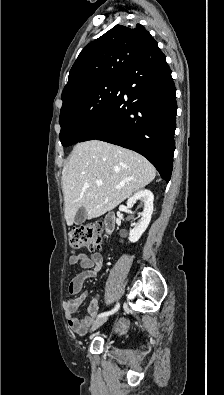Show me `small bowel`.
Masks as SVG:
<instances>
[{"instance_id":"obj_1","label":"small bowel","mask_w":224,"mask_h":395,"mask_svg":"<svg viewBox=\"0 0 224 395\" xmlns=\"http://www.w3.org/2000/svg\"><path fill=\"white\" fill-rule=\"evenodd\" d=\"M102 263L103 258L99 252H93L91 255L80 253L69 258V264L78 265L82 268V271L74 276L69 284V293L76 298L65 301L63 306L69 328L79 335L85 334L99 310L98 296H96L88 308V314L82 320L74 316L87 297V292L82 290L83 284L85 280L97 274L102 267ZM115 329L119 332L125 331L127 329L126 320L120 319Z\"/></svg>"}]
</instances>
